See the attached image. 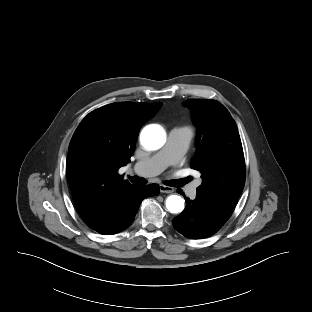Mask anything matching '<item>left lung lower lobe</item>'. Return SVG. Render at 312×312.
<instances>
[{
  "mask_svg": "<svg viewBox=\"0 0 312 312\" xmlns=\"http://www.w3.org/2000/svg\"><path fill=\"white\" fill-rule=\"evenodd\" d=\"M184 197V193L178 190ZM186 208L173 219L174 228L191 239H201L215 234L229 219L230 211L219 203L196 195L195 200L185 197Z\"/></svg>",
  "mask_w": 312,
  "mask_h": 312,
  "instance_id": "left-lung-lower-lobe-1",
  "label": "left lung lower lobe"
}]
</instances>
